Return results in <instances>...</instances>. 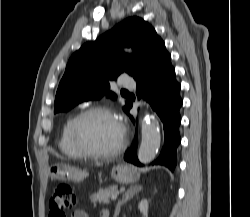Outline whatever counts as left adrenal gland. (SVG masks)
<instances>
[{
	"mask_svg": "<svg viewBox=\"0 0 250 217\" xmlns=\"http://www.w3.org/2000/svg\"><path fill=\"white\" fill-rule=\"evenodd\" d=\"M142 190V186H131L124 194L122 200L118 201L115 209L114 217H117L120 213L121 206L125 204L128 200L134 197L138 192Z\"/></svg>",
	"mask_w": 250,
	"mask_h": 217,
	"instance_id": "obj_1",
	"label": "left adrenal gland"
}]
</instances>
